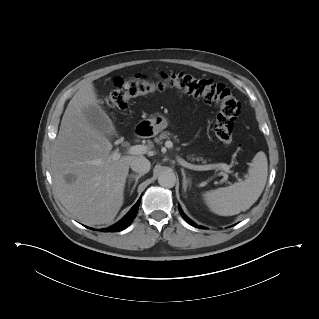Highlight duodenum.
<instances>
[{
  "label": "duodenum",
  "instance_id": "duodenum-1",
  "mask_svg": "<svg viewBox=\"0 0 319 319\" xmlns=\"http://www.w3.org/2000/svg\"><path fill=\"white\" fill-rule=\"evenodd\" d=\"M148 130V129H147ZM145 132H144V129L142 127H138L137 128V134L138 135H143Z\"/></svg>",
  "mask_w": 319,
  "mask_h": 319
}]
</instances>
